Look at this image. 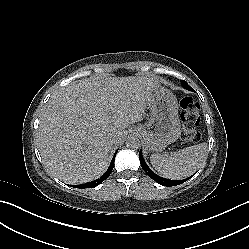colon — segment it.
Segmentation results:
<instances>
[{"mask_svg":"<svg viewBox=\"0 0 249 249\" xmlns=\"http://www.w3.org/2000/svg\"><path fill=\"white\" fill-rule=\"evenodd\" d=\"M181 120L183 124L182 136L187 142H196L199 139L197 126L200 122L199 105L190 96H185L180 101Z\"/></svg>","mask_w":249,"mask_h":249,"instance_id":"5ec220e1","label":"colon"}]
</instances>
